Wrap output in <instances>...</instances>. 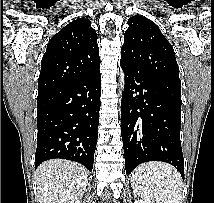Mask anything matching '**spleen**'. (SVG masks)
<instances>
[{
    "instance_id": "3e777b00",
    "label": "spleen",
    "mask_w": 214,
    "mask_h": 203,
    "mask_svg": "<svg viewBox=\"0 0 214 203\" xmlns=\"http://www.w3.org/2000/svg\"><path fill=\"white\" fill-rule=\"evenodd\" d=\"M131 185L134 193L147 203H181L182 178L169 164L149 162L138 166Z\"/></svg>"
}]
</instances>
